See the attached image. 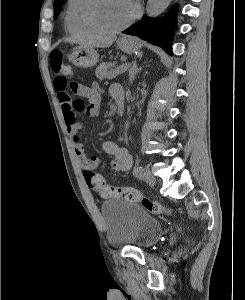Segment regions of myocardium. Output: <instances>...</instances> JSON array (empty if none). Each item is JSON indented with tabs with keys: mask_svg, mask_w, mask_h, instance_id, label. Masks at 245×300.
Returning <instances> with one entry per match:
<instances>
[{
	"mask_svg": "<svg viewBox=\"0 0 245 300\" xmlns=\"http://www.w3.org/2000/svg\"><path fill=\"white\" fill-rule=\"evenodd\" d=\"M98 2L99 0H87L82 13V17L85 25L93 32L98 34L113 35V34L120 33L126 28H128L130 25H132L139 15L138 7L134 5V13L126 23L113 29H107L99 25L95 20L94 10Z\"/></svg>",
	"mask_w": 245,
	"mask_h": 300,
	"instance_id": "obj_1",
	"label": "myocardium"
}]
</instances>
